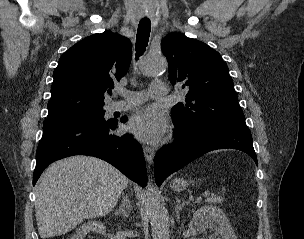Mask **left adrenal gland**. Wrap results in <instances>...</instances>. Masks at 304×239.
Segmentation results:
<instances>
[{
    "label": "left adrenal gland",
    "mask_w": 304,
    "mask_h": 239,
    "mask_svg": "<svg viewBox=\"0 0 304 239\" xmlns=\"http://www.w3.org/2000/svg\"><path fill=\"white\" fill-rule=\"evenodd\" d=\"M176 202H177V205L175 207V210H176V214H177V219H179V217H180L179 211L185 206V204H189L190 202L181 200L179 197H176Z\"/></svg>",
    "instance_id": "obj_1"
}]
</instances>
